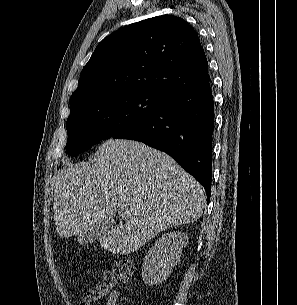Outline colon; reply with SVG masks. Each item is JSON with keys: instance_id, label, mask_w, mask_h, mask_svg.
<instances>
[{"instance_id": "obj_1", "label": "colon", "mask_w": 297, "mask_h": 305, "mask_svg": "<svg viewBox=\"0 0 297 305\" xmlns=\"http://www.w3.org/2000/svg\"><path fill=\"white\" fill-rule=\"evenodd\" d=\"M114 275L121 281H130L135 272V265L130 259H117L113 263Z\"/></svg>"}]
</instances>
